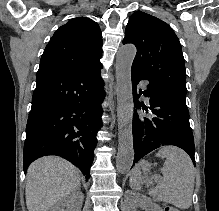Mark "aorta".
I'll use <instances>...</instances> for the list:
<instances>
[{
	"mask_svg": "<svg viewBox=\"0 0 219 211\" xmlns=\"http://www.w3.org/2000/svg\"><path fill=\"white\" fill-rule=\"evenodd\" d=\"M136 55L132 44L121 46L116 55V94L118 129V153L116 168L121 174L128 173L134 160L132 134L133 94L131 67Z\"/></svg>",
	"mask_w": 219,
	"mask_h": 211,
	"instance_id": "aorta-1",
	"label": "aorta"
}]
</instances>
